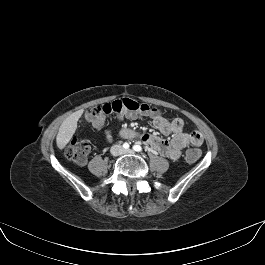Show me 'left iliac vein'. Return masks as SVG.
I'll return each instance as SVG.
<instances>
[{
	"label": "left iliac vein",
	"instance_id": "4c4485c4",
	"mask_svg": "<svg viewBox=\"0 0 265 265\" xmlns=\"http://www.w3.org/2000/svg\"><path fill=\"white\" fill-rule=\"evenodd\" d=\"M125 153H127V154H134V151L131 150V149H127V150H125Z\"/></svg>",
	"mask_w": 265,
	"mask_h": 265
}]
</instances>
